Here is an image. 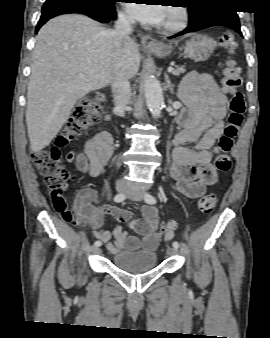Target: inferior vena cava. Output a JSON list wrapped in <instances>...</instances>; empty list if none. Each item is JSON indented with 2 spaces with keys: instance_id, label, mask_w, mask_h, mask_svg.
<instances>
[{
  "instance_id": "obj_1",
  "label": "inferior vena cava",
  "mask_w": 270,
  "mask_h": 338,
  "mask_svg": "<svg viewBox=\"0 0 270 338\" xmlns=\"http://www.w3.org/2000/svg\"><path fill=\"white\" fill-rule=\"evenodd\" d=\"M133 24V19L128 18L122 13L118 14V19L115 22V28L111 32L114 47L117 51L123 42L130 39V34L133 32ZM112 93L115 107L120 110L121 115L123 116L124 110L131 99V89L128 79L119 69V64H117L112 80Z\"/></svg>"
}]
</instances>
